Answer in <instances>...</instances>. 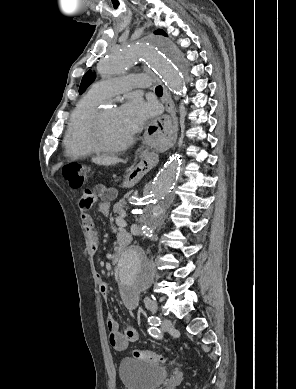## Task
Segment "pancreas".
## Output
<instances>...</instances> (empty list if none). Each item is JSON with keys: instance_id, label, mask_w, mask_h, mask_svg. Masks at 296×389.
<instances>
[{"instance_id": "1", "label": "pancreas", "mask_w": 296, "mask_h": 389, "mask_svg": "<svg viewBox=\"0 0 296 389\" xmlns=\"http://www.w3.org/2000/svg\"><path fill=\"white\" fill-rule=\"evenodd\" d=\"M127 203L125 200H120L119 202L115 203L114 206H113V212L115 214H118V215H121V216H124L125 215V209H127L128 207L126 206Z\"/></svg>"}]
</instances>
